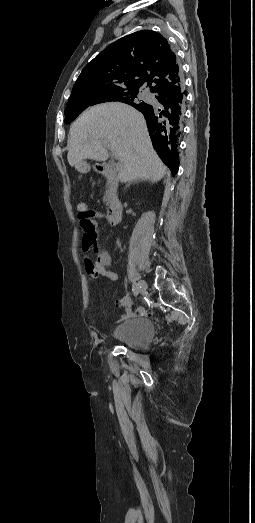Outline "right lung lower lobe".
Masks as SVG:
<instances>
[{"label":"right lung lower lobe","instance_id":"98d812e1","mask_svg":"<svg viewBox=\"0 0 255 523\" xmlns=\"http://www.w3.org/2000/svg\"><path fill=\"white\" fill-rule=\"evenodd\" d=\"M178 168H179V165L176 167V173H177V171H178Z\"/></svg>","mask_w":255,"mask_h":523}]
</instances>
